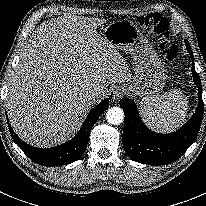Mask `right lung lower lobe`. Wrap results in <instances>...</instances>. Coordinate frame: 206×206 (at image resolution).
Listing matches in <instances>:
<instances>
[{"instance_id": "right-lung-lower-lobe-1", "label": "right lung lower lobe", "mask_w": 206, "mask_h": 206, "mask_svg": "<svg viewBox=\"0 0 206 206\" xmlns=\"http://www.w3.org/2000/svg\"><path fill=\"white\" fill-rule=\"evenodd\" d=\"M108 106V99H105L95 106L88 114L77 135L70 141L53 148L42 149L32 147L26 144L16 135V133L11 128L9 121L8 127L14 142L35 163L48 167L66 165L78 160L82 156L87 147L92 126L104 113V111L107 110Z\"/></svg>"}]
</instances>
